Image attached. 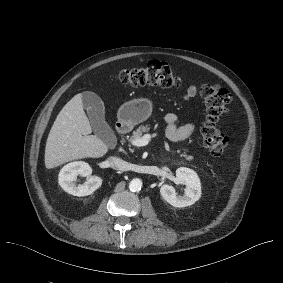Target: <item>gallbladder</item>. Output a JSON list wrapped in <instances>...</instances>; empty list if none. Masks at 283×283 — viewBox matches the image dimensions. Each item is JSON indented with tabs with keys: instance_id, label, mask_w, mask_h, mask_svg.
<instances>
[{
	"instance_id": "bac80fb5",
	"label": "gallbladder",
	"mask_w": 283,
	"mask_h": 283,
	"mask_svg": "<svg viewBox=\"0 0 283 283\" xmlns=\"http://www.w3.org/2000/svg\"><path fill=\"white\" fill-rule=\"evenodd\" d=\"M83 108L89 117L94 133L109 146L116 145V136L105 118V108L103 100L94 92L86 91L82 93Z\"/></svg>"
}]
</instances>
